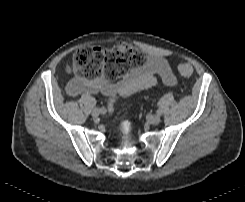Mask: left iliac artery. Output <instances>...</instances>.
Masks as SVG:
<instances>
[{
  "mask_svg": "<svg viewBox=\"0 0 245 202\" xmlns=\"http://www.w3.org/2000/svg\"><path fill=\"white\" fill-rule=\"evenodd\" d=\"M157 114L158 115H161L162 114V111L160 109L157 110Z\"/></svg>",
  "mask_w": 245,
  "mask_h": 202,
  "instance_id": "44dca946",
  "label": "left iliac artery"
}]
</instances>
